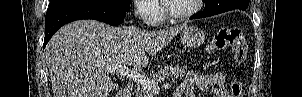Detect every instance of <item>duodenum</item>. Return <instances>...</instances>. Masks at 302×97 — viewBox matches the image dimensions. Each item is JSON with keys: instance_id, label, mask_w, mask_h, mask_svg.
Here are the masks:
<instances>
[{"instance_id": "410a0bca", "label": "duodenum", "mask_w": 302, "mask_h": 97, "mask_svg": "<svg viewBox=\"0 0 302 97\" xmlns=\"http://www.w3.org/2000/svg\"><path fill=\"white\" fill-rule=\"evenodd\" d=\"M117 97H132V91L130 88L123 89Z\"/></svg>"}]
</instances>
